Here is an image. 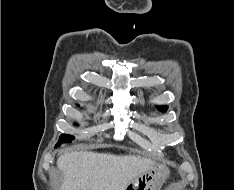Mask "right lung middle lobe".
Instances as JSON below:
<instances>
[{
	"label": "right lung middle lobe",
	"mask_w": 234,
	"mask_h": 190,
	"mask_svg": "<svg viewBox=\"0 0 234 190\" xmlns=\"http://www.w3.org/2000/svg\"><path fill=\"white\" fill-rule=\"evenodd\" d=\"M73 139L74 137L72 135L62 134L55 147L57 148L58 146H60L62 143H65V142H71Z\"/></svg>",
	"instance_id": "1"
}]
</instances>
